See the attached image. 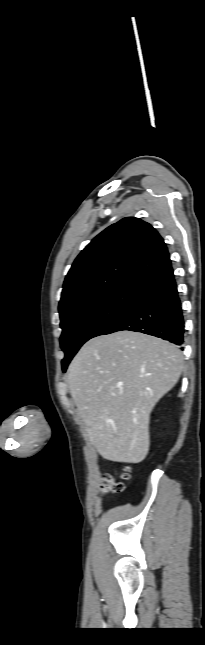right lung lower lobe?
I'll use <instances>...</instances> for the list:
<instances>
[{
  "mask_svg": "<svg viewBox=\"0 0 205 645\" xmlns=\"http://www.w3.org/2000/svg\"><path fill=\"white\" fill-rule=\"evenodd\" d=\"M122 330L156 336L177 345L184 342V319L172 268L145 284L138 301L101 335Z\"/></svg>",
  "mask_w": 205,
  "mask_h": 645,
  "instance_id": "right-lung-lower-lobe-1",
  "label": "right lung lower lobe"
}]
</instances>
